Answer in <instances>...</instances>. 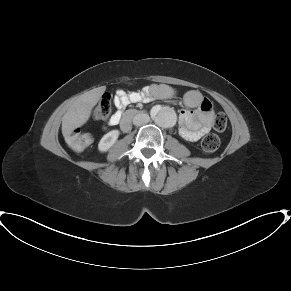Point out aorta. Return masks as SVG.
<instances>
[{
  "mask_svg": "<svg viewBox=\"0 0 291 291\" xmlns=\"http://www.w3.org/2000/svg\"><path fill=\"white\" fill-rule=\"evenodd\" d=\"M153 119L158 126L169 128L175 124L176 114L169 107H160L153 110Z\"/></svg>",
  "mask_w": 291,
  "mask_h": 291,
  "instance_id": "1",
  "label": "aorta"
}]
</instances>
